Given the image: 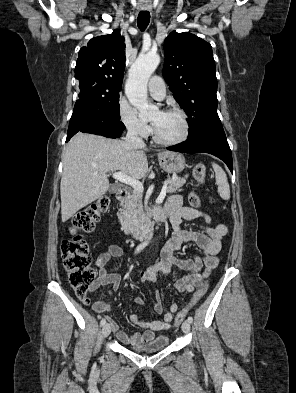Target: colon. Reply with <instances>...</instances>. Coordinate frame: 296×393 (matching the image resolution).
<instances>
[{
  "label": "colon",
  "instance_id": "colon-1",
  "mask_svg": "<svg viewBox=\"0 0 296 393\" xmlns=\"http://www.w3.org/2000/svg\"><path fill=\"white\" fill-rule=\"evenodd\" d=\"M195 186L200 187L206 178V166L197 164L193 170ZM189 200L191 205L198 209L200 199L193 191ZM109 207L108 197H100L89 206L75 213L71 220L72 237L65 239L61 245V254L64 267L68 273V281L72 289L79 297L87 296L88 292L97 284L96 271L92 267L88 243L79 235V232H90L100 215ZM207 284L200 287L194 294L191 302L180 310L175 316V324L178 325L187 317L192 306L197 303L206 293Z\"/></svg>",
  "mask_w": 296,
  "mask_h": 393
}]
</instances>
